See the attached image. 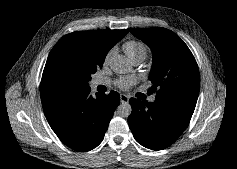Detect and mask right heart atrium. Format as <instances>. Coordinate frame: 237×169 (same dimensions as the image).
Instances as JSON below:
<instances>
[{
	"label": "right heart atrium",
	"instance_id": "right-heart-atrium-1",
	"mask_svg": "<svg viewBox=\"0 0 237 169\" xmlns=\"http://www.w3.org/2000/svg\"><path fill=\"white\" fill-rule=\"evenodd\" d=\"M114 53V48H111L107 51L106 55H105V63H107L110 59V57L112 56V54Z\"/></svg>",
	"mask_w": 237,
	"mask_h": 169
}]
</instances>
